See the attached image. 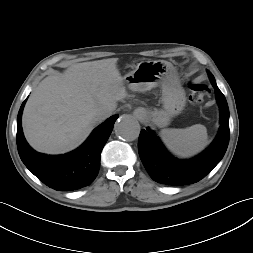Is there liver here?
I'll list each match as a JSON object with an SVG mask.
<instances>
[{"label":"liver","mask_w":253,"mask_h":253,"mask_svg":"<svg viewBox=\"0 0 253 253\" xmlns=\"http://www.w3.org/2000/svg\"><path fill=\"white\" fill-rule=\"evenodd\" d=\"M118 58L84 62L43 79L30 95L22 117L24 135L37 151L61 154L78 147L98 121L94 113L114 110L128 97Z\"/></svg>","instance_id":"1"}]
</instances>
